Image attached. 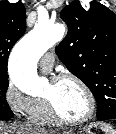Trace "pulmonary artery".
I'll return each mask as SVG.
<instances>
[{"instance_id": "1", "label": "pulmonary artery", "mask_w": 116, "mask_h": 134, "mask_svg": "<svg viewBox=\"0 0 116 134\" xmlns=\"http://www.w3.org/2000/svg\"><path fill=\"white\" fill-rule=\"evenodd\" d=\"M54 64V55L53 53L45 54L40 61V67L44 72H48L51 70Z\"/></svg>"}]
</instances>
